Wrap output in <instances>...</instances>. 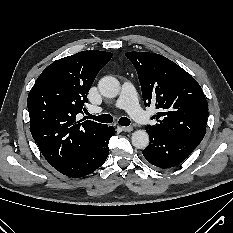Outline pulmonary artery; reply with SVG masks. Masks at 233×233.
Wrapping results in <instances>:
<instances>
[{
	"label": "pulmonary artery",
	"mask_w": 233,
	"mask_h": 233,
	"mask_svg": "<svg viewBox=\"0 0 233 233\" xmlns=\"http://www.w3.org/2000/svg\"><path fill=\"white\" fill-rule=\"evenodd\" d=\"M115 107L125 109L137 122L149 123V115L140 107L134 86L130 82H124L121 93L115 102ZM101 108H93V113H100Z\"/></svg>",
	"instance_id": "e3ab8cb5"
}]
</instances>
